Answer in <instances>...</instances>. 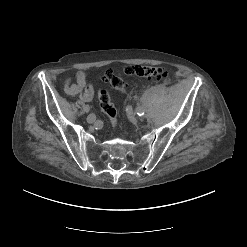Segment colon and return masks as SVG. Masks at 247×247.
<instances>
[{
	"label": "colon",
	"instance_id": "obj_1",
	"mask_svg": "<svg viewBox=\"0 0 247 247\" xmlns=\"http://www.w3.org/2000/svg\"><path fill=\"white\" fill-rule=\"evenodd\" d=\"M123 71L128 76H138L148 81L160 82L165 81L168 77L167 70L159 66L132 65L125 67ZM103 78L115 90L121 93L128 92V87L124 80L120 76L115 75L112 70H104ZM99 103L102 111L108 116L112 127L115 129L118 123L117 111L105 90L99 92Z\"/></svg>",
	"mask_w": 247,
	"mask_h": 247
}]
</instances>
